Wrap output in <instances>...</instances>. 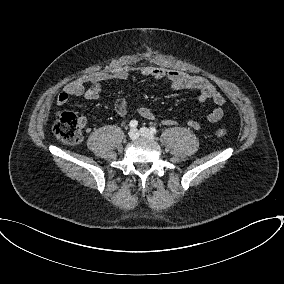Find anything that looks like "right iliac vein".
<instances>
[{
  "label": "right iliac vein",
  "mask_w": 284,
  "mask_h": 284,
  "mask_svg": "<svg viewBox=\"0 0 284 284\" xmlns=\"http://www.w3.org/2000/svg\"><path fill=\"white\" fill-rule=\"evenodd\" d=\"M128 134H129L130 139L132 140H135L139 137V132L135 128L131 129Z\"/></svg>",
  "instance_id": "obj_1"
}]
</instances>
